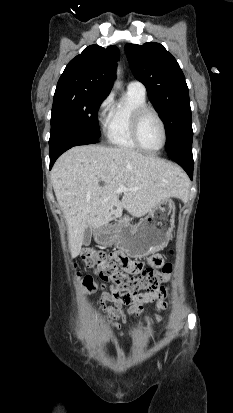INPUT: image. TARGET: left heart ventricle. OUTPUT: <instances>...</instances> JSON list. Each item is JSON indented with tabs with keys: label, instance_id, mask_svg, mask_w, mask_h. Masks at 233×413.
I'll use <instances>...</instances> for the list:
<instances>
[{
	"label": "left heart ventricle",
	"instance_id": "1",
	"mask_svg": "<svg viewBox=\"0 0 233 413\" xmlns=\"http://www.w3.org/2000/svg\"><path fill=\"white\" fill-rule=\"evenodd\" d=\"M140 139L148 149H156L162 142V130L160 123L153 114H147L140 126Z\"/></svg>",
	"mask_w": 233,
	"mask_h": 413
}]
</instances>
